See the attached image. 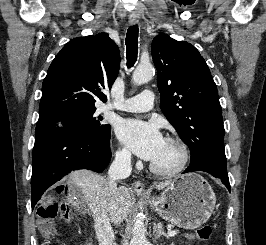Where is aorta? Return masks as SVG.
Instances as JSON below:
<instances>
[{"label":"aorta","mask_w":266,"mask_h":245,"mask_svg":"<svg viewBox=\"0 0 266 245\" xmlns=\"http://www.w3.org/2000/svg\"><path fill=\"white\" fill-rule=\"evenodd\" d=\"M155 68L152 64H139L132 74V80L135 84H144L154 76ZM146 225L143 215H135V221L132 223V239L130 245H146Z\"/></svg>","instance_id":"aorta-1"}]
</instances>
